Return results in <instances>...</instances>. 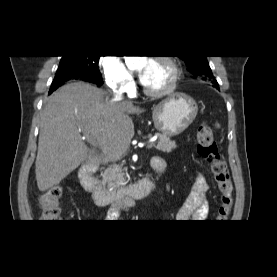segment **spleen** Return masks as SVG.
<instances>
[{"mask_svg": "<svg viewBox=\"0 0 277 277\" xmlns=\"http://www.w3.org/2000/svg\"><path fill=\"white\" fill-rule=\"evenodd\" d=\"M216 126H217V127H220V125H219L218 123H216Z\"/></svg>", "mask_w": 277, "mask_h": 277, "instance_id": "1", "label": "spleen"}]
</instances>
